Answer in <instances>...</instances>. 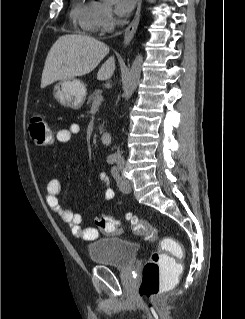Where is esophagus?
<instances>
[{"mask_svg":"<svg viewBox=\"0 0 245 319\" xmlns=\"http://www.w3.org/2000/svg\"><path fill=\"white\" fill-rule=\"evenodd\" d=\"M141 5H142V0H138V6H137V10H136L135 16H134L132 22L127 27V29L125 31V34H124L123 44L125 46L130 43V41L134 37L135 32H136V30L138 28L139 21H140Z\"/></svg>","mask_w":245,"mask_h":319,"instance_id":"obj_1","label":"esophagus"}]
</instances>
